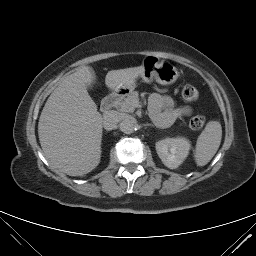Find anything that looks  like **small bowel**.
<instances>
[{"label":"small bowel","instance_id":"small-bowel-1","mask_svg":"<svg viewBox=\"0 0 256 256\" xmlns=\"http://www.w3.org/2000/svg\"><path fill=\"white\" fill-rule=\"evenodd\" d=\"M150 112L154 122L161 127L171 125L179 117L189 115V107H178L169 96L154 94L150 99Z\"/></svg>","mask_w":256,"mask_h":256}]
</instances>
